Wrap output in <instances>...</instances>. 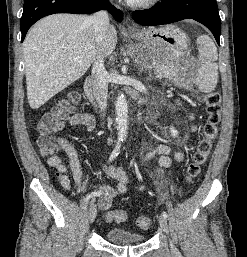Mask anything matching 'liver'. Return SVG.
<instances>
[{
	"label": "liver",
	"instance_id": "obj_1",
	"mask_svg": "<svg viewBox=\"0 0 247 257\" xmlns=\"http://www.w3.org/2000/svg\"><path fill=\"white\" fill-rule=\"evenodd\" d=\"M116 44L117 31L109 24L98 45L88 16L61 13L38 21L23 43L30 107H41L81 78L99 54L110 56ZM78 57L81 61H74Z\"/></svg>",
	"mask_w": 247,
	"mask_h": 257
}]
</instances>
